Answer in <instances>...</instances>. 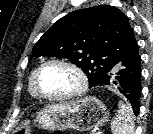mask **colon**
Returning a JSON list of instances; mask_svg holds the SVG:
<instances>
[{
    "instance_id": "colon-1",
    "label": "colon",
    "mask_w": 153,
    "mask_h": 134,
    "mask_svg": "<svg viewBox=\"0 0 153 134\" xmlns=\"http://www.w3.org/2000/svg\"><path fill=\"white\" fill-rule=\"evenodd\" d=\"M56 134H61L60 132H56Z\"/></svg>"
}]
</instances>
